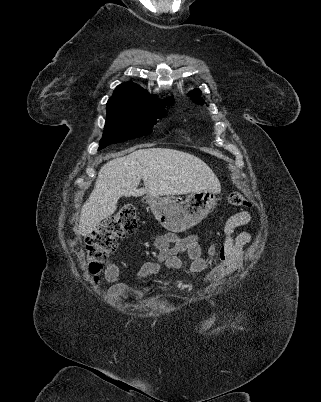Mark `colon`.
I'll list each match as a JSON object with an SVG mask.
<instances>
[{"label": "colon", "instance_id": "5ec220e1", "mask_svg": "<svg viewBox=\"0 0 321 402\" xmlns=\"http://www.w3.org/2000/svg\"><path fill=\"white\" fill-rule=\"evenodd\" d=\"M228 203L233 207L249 204L248 200L237 192L228 196ZM137 225V210L133 205L127 204L86 236L84 249L88 270L96 280L103 271L107 257L116 249L117 240L134 232Z\"/></svg>", "mask_w": 321, "mask_h": 402}]
</instances>
